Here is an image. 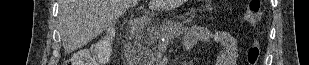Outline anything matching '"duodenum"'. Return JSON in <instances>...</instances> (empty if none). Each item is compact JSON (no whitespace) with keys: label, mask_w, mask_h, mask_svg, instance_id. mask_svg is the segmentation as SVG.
I'll use <instances>...</instances> for the list:
<instances>
[{"label":"duodenum","mask_w":309,"mask_h":65,"mask_svg":"<svg viewBox=\"0 0 309 65\" xmlns=\"http://www.w3.org/2000/svg\"><path fill=\"white\" fill-rule=\"evenodd\" d=\"M149 17H140L137 19H134L128 26V29L126 31V35L129 39L135 37L138 35L139 32H141L149 23H150Z\"/></svg>","instance_id":"obj_1"}]
</instances>
